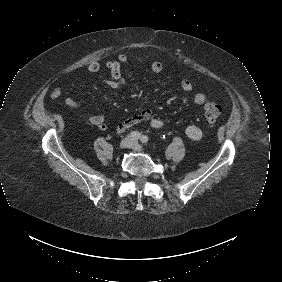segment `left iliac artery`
<instances>
[{"label": "left iliac artery", "instance_id": "obj_1", "mask_svg": "<svg viewBox=\"0 0 282 282\" xmlns=\"http://www.w3.org/2000/svg\"><path fill=\"white\" fill-rule=\"evenodd\" d=\"M140 141L142 143H147L148 142V137L146 135L141 136Z\"/></svg>", "mask_w": 282, "mask_h": 282}]
</instances>
